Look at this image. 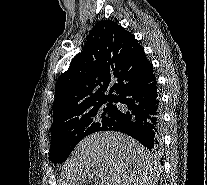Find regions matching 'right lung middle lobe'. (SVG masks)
Returning <instances> with one entry per match:
<instances>
[{
    "instance_id": "dd1d6c3e",
    "label": "right lung middle lobe",
    "mask_w": 207,
    "mask_h": 185,
    "mask_svg": "<svg viewBox=\"0 0 207 185\" xmlns=\"http://www.w3.org/2000/svg\"><path fill=\"white\" fill-rule=\"evenodd\" d=\"M118 108L111 103L70 117L51 128L49 158L56 163L66 161L74 147L86 136L101 131L117 119Z\"/></svg>"
}]
</instances>
